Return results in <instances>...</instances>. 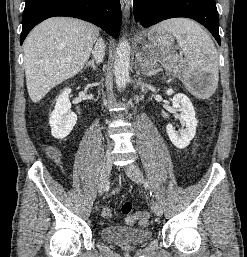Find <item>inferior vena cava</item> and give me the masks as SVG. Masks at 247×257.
I'll use <instances>...</instances> for the list:
<instances>
[{"instance_id":"602c4592","label":"inferior vena cava","mask_w":247,"mask_h":257,"mask_svg":"<svg viewBox=\"0 0 247 257\" xmlns=\"http://www.w3.org/2000/svg\"><path fill=\"white\" fill-rule=\"evenodd\" d=\"M92 54L98 63H101L103 61L105 55V44L101 38L98 39L95 43V47Z\"/></svg>"}]
</instances>
